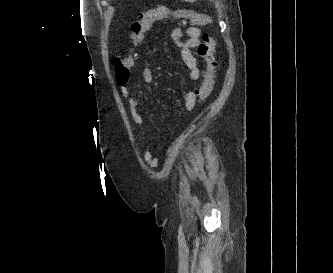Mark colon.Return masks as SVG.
I'll return each instance as SVG.
<instances>
[{
  "instance_id": "5ec220e1",
  "label": "colon",
  "mask_w": 333,
  "mask_h": 273,
  "mask_svg": "<svg viewBox=\"0 0 333 273\" xmlns=\"http://www.w3.org/2000/svg\"><path fill=\"white\" fill-rule=\"evenodd\" d=\"M170 18L188 20L196 25H207L211 23V17L206 14L196 13L190 10H171L165 6H159L144 12L140 18L131 25V40L133 48L128 54L118 56L115 59V76L120 86H126L131 76V70L137 57L136 49L142 43L145 35L152 25L158 21ZM216 39L208 34L203 35L201 43L198 45L197 53L205 61L206 70L202 83L197 90L199 102L206 100L215 87L216 70L218 62L215 57Z\"/></svg>"
}]
</instances>
